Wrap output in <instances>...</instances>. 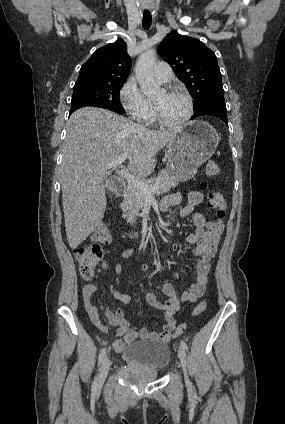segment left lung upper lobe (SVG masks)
I'll list each match as a JSON object with an SVG mask.
<instances>
[{"label": "left lung upper lobe", "mask_w": 285, "mask_h": 424, "mask_svg": "<svg viewBox=\"0 0 285 424\" xmlns=\"http://www.w3.org/2000/svg\"><path fill=\"white\" fill-rule=\"evenodd\" d=\"M158 53L186 85L194 108L208 98L224 96L216 55L200 40L172 31L158 46Z\"/></svg>", "instance_id": "1"}]
</instances>
